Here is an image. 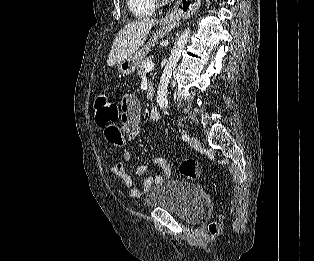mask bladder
I'll use <instances>...</instances> for the list:
<instances>
[{
	"mask_svg": "<svg viewBox=\"0 0 314 261\" xmlns=\"http://www.w3.org/2000/svg\"><path fill=\"white\" fill-rule=\"evenodd\" d=\"M150 208L166 209L187 222L197 221L204 209L201 189L182 181H166L150 189L146 197Z\"/></svg>",
	"mask_w": 314,
	"mask_h": 261,
	"instance_id": "bladder-1",
	"label": "bladder"
}]
</instances>
